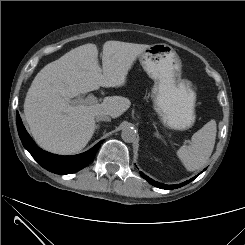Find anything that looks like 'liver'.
I'll list each match as a JSON object with an SVG mask.
<instances>
[{
	"label": "liver",
	"mask_w": 245,
	"mask_h": 245,
	"mask_svg": "<svg viewBox=\"0 0 245 245\" xmlns=\"http://www.w3.org/2000/svg\"><path fill=\"white\" fill-rule=\"evenodd\" d=\"M150 45L106 41L102 69L95 44L81 45L47 64L35 76L24 102V114L36 143L52 153L81 151L92 138L96 114L121 116L130 101L109 96L101 104H75L72 98L102 87H122L137 57Z\"/></svg>",
	"instance_id": "1"
}]
</instances>
